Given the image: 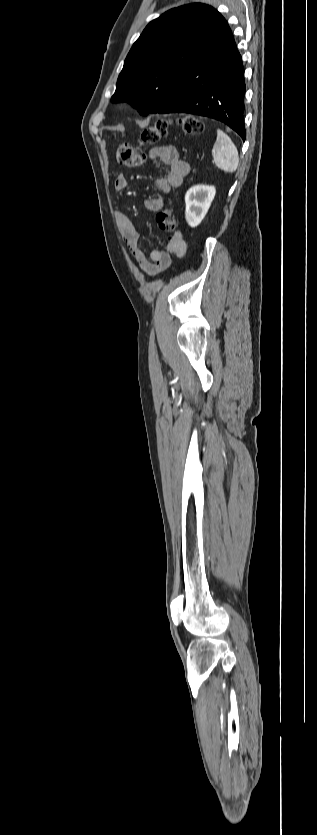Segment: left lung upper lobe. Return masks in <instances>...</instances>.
I'll return each instance as SVG.
<instances>
[{
  "label": "left lung upper lobe",
  "mask_w": 317,
  "mask_h": 835,
  "mask_svg": "<svg viewBox=\"0 0 317 835\" xmlns=\"http://www.w3.org/2000/svg\"><path fill=\"white\" fill-rule=\"evenodd\" d=\"M222 19L213 7L193 3L151 21L127 55L111 101H128L142 115L164 107Z\"/></svg>",
  "instance_id": "5c2ea615"
}]
</instances>
